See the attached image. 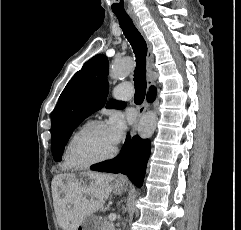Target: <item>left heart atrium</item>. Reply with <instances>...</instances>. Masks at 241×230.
I'll return each mask as SVG.
<instances>
[{"instance_id": "left-heart-atrium-1", "label": "left heart atrium", "mask_w": 241, "mask_h": 230, "mask_svg": "<svg viewBox=\"0 0 241 230\" xmlns=\"http://www.w3.org/2000/svg\"><path fill=\"white\" fill-rule=\"evenodd\" d=\"M106 128L112 142L117 145L122 141L126 132L127 125L125 116L122 113H114L110 117Z\"/></svg>"}]
</instances>
